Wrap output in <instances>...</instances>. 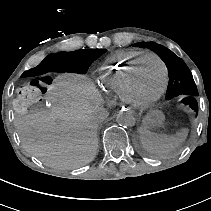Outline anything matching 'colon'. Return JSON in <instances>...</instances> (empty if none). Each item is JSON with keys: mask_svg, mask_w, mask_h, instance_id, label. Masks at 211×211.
I'll use <instances>...</instances> for the list:
<instances>
[{"mask_svg": "<svg viewBox=\"0 0 211 211\" xmlns=\"http://www.w3.org/2000/svg\"><path fill=\"white\" fill-rule=\"evenodd\" d=\"M52 85L49 76H42L36 80L22 84L16 91L14 110L17 114L25 115L31 106L43 99Z\"/></svg>", "mask_w": 211, "mask_h": 211, "instance_id": "colon-1", "label": "colon"}]
</instances>
